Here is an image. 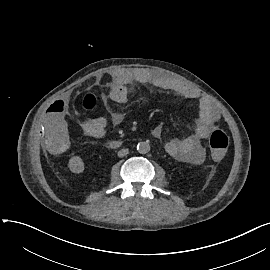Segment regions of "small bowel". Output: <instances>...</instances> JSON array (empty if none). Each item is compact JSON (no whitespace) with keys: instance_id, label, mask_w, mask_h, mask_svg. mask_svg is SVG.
<instances>
[{"instance_id":"obj_1","label":"small bowel","mask_w":270,"mask_h":270,"mask_svg":"<svg viewBox=\"0 0 270 270\" xmlns=\"http://www.w3.org/2000/svg\"><path fill=\"white\" fill-rule=\"evenodd\" d=\"M134 82L176 92L190 100H199V115L195 131L186 137L171 139L166 144V150L170 155L186 160L193 165L202 164L205 161L206 152L201 141L209 135L218 120V115L210 101L200 98L197 91L159 71L148 68H128L112 75L111 89L103 97L105 104L107 106L111 102L119 105L125 104L128 99V86ZM110 114L113 126L122 123L123 115L120 111L110 108ZM45 117L48 137L51 140L46 145V154L51 159H60L69 145L66 138L68 133L66 109L61 104H52L48 107ZM80 124L83 131L94 138L104 137L109 129L108 122L101 115L83 119ZM162 133V126L155 127L152 132L157 139L161 138Z\"/></svg>"}]
</instances>
